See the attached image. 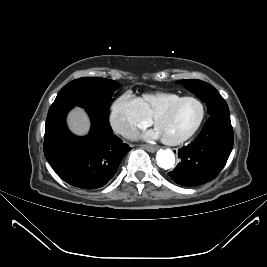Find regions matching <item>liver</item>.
Returning <instances> with one entry per match:
<instances>
[{
	"instance_id": "6515ba94",
	"label": "liver",
	"mask_w": 267,
	"mask_h": 267,
	"mask_svg": "<svg viewBox=\"0 0 267 267\" xmlns=\"http://www.w3.org/2000/svg\"><path fill=\"white\" fill-rule=\"evenodd\" d=\"M68 127L76 135L83 136L90 129V119L83 108H74L67 117Z\"/></svg>"
}]
</instances>
